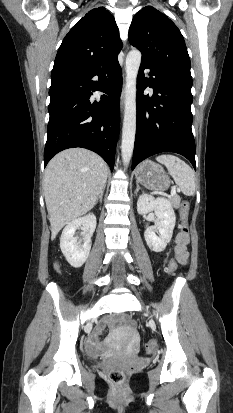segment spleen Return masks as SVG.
Listing matches in <instances>:
<instances>
[{"mask_svg":"<svg viewBox=\"0 0 233 413\" xmlns=\"http://www.w3.org/2000/svg\"><path fill=\"white\" fill-rule=\"evenodd\" d=\"M156 160L166 166L169 174L183 194L187 196H192L194 194L195 174L188 164L173 155H160Z\"/></svg>","mask_w":233,"mask_h":413,"instance_id":"3e777b00","label":"spleen"}]
</instances>
